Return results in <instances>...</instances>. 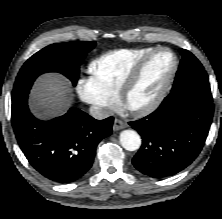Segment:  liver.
<instances>
[{"label": "liver", "instance_id": "6515ba94", "mask_svg": "<svg viewBox=\"0 0 222 219\" xmlns=\"http://www.w3.org/2000/svg\"><path fill=\"white\" fill-rule=\"evenodd\" d=\"M73 100L70 83L58 74H45L38 78L32 90V109L39 116L64 113Z\"/></svg>", "mask_w": 222, "mask_h": 219}]
</instances>
